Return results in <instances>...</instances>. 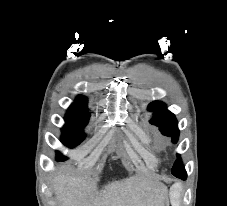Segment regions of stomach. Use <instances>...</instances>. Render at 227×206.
I'll return each mask as SVG.
<instances>
[{"instance_id":"obj_1","label":"stomach","mask_w":227,"mask_h":206,"mask_svg":"<svg viewBox=\"0 0 227 206\" xmlns=\"http://www.w3.org/2000/svg\"><path fill=\"white\" fill-rule=\"evenodd\" d=\"M163 206H169L168 197H163Z\"/></svg>"}]
</instances>
